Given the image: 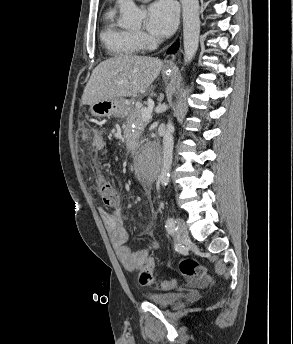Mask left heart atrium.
<instances>
[{"mask_svg": "<svg viewBox=\"0 0 293 344\" xmlns=\"http://www.w3.org/2000/svg\"><path fill=\"white\" fill-rule=\"evenodd\" d=\"M178 22V11L171 0H159L148 7L146 28L154 36H170Z\"/></svg>", "mask_w": 293, "mask_h": 344, "instance_id": "39dd6f15", "label": "left heart atrium"}]
</instances>
